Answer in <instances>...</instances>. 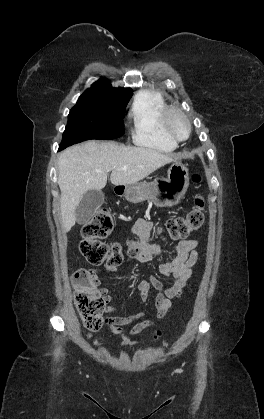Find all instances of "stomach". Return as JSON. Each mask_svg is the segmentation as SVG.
<instances>
[{"label":"stomach","mask_w":264,"mask_h":419,"mask_svg":"<svg viewBox=\"0 0 264 419\" xmlns=\"http://www.w3.org/2000/svg\"><path fill=\"white\" fill-rule=\"evenodd\" d=\"M189 186L187 167L180 161H173L167 178H156L152 182H137L124 188V196L131 203L151 201L158 207L177 205Z\"/></svg>","instance_id":"1"}]
</instances>
